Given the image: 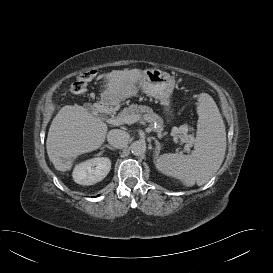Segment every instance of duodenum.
I'll return each instance as SVG.
<instances>
[{"mask_svg": "<svg viewBox=\"0 0 273 273\" xmlns=\"http://www.w3.org/2000/svg\"><path fill=\"white\" fill-rule=\"evenodd\" d=\"M100 109L101 110H107V107L102 105V106H100Z\"/></svg>", "mask_w": 273, "mask_h": 273, "instance_id": "obj_1", "label": "duodenum"}]
</instances>
